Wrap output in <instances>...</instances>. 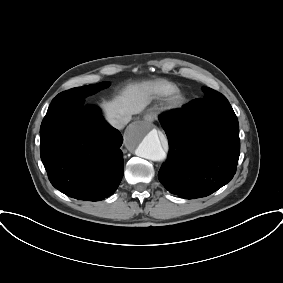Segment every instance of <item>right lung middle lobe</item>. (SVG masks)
Instances as JSON below:
<instances>
[{
  "instance_id": "obj_1",
  "label": "right lung middle lobe",
  "mask_w": 283,
  "mask_h": 283,
  "mask_svg": "<svg viewBox=\"0 0 283 283\" xmlns=\"http://www.w3.org/2000/svg\"><path fill=\"white\" fill-rule=\"evenodd\" d=\"M110 85L109 82H102L99 84H92V85H86L82 87H76L72 88L70 90L64 91L59 93L53 100H57L59 98H72V97H80L85 98L87 96H90L96 92H98L101 89L107 88Z\"/></svg>"
}]
</instances>
